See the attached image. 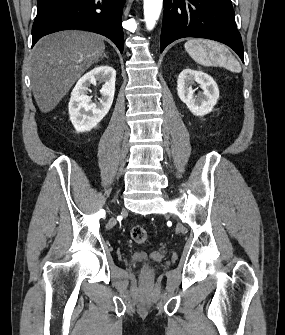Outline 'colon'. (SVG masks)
I'll use <instances>...</instances> for the list:
<instances>
[{"label": "colon", "instance_id": "obj_1", "mask_svg": "<svg viewBox=\"0 0 285 335\" xmlns=\"http://www.w3.org/2000/svg\"><path fill=\"white\" fill-rule=\"evenodd\" d=\"M130 234L132 240L137 244H144L148 240V233L142 226H133L131 228Z\"/></svg>", "mask_w": 285, "mask_h": 335}]
</instances>
